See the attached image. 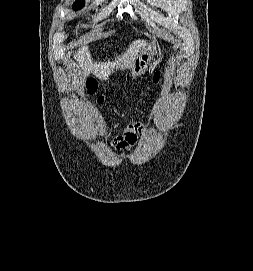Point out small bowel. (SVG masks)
Listing matches in <instances>:
<instances>
[{"instance_id":"small-bowel-1","label":"small bowel","mask_w":253,"mask_h":271,"mask_svg":"<svg viewBox=\"0 0 253 271\" xmlns=\"http://www.w3.org/2000/svg\"><path fill=\"white\" fill-rule=\"evenodd\" d=\"M149 131L143 125L131 123L114 140L112 147L118 152H130L135 147L139 138L148 137Z\"/></svg>"}]
</instances>
